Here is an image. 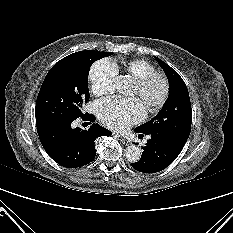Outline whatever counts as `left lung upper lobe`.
<instances>
[{
    "label": "left lung upper lobe",
    "mask_w": 233,
    "mask_h": 233,
    "mask_svg": "<svg viewBox=\"0 0 233 233\" xmlns=\"http://www.w3.org/2000/svg\"><path fill=\"white\" fill-rule=\"evenodd\" d=\"M169 82V96L160 112L150 121L135 128L143 134L159 133L184 147L191 131L192 109L188 89L180 75L155 57Z\"/></svg>",
    "instance_id": "obj_1"
}]
</instances>
